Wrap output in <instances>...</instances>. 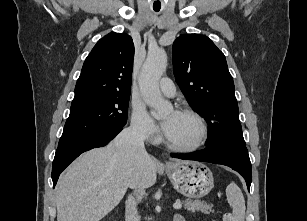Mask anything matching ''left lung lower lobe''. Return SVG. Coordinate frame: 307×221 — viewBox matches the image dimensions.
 Instances as JSON below:
<instances>
[{"label": "left lung lower lobe", "instance_id": "0a47b994", "mask_svg": "<svg viewBox=\"0 0 307 221\" xmlns=\"http://www.w3.org/2000/svg\"><path fill=\"white\" fill-rule=\"evenodd\" d=\"M174 158L226 165L237 171L246 181L248 190L252 181V166L248 153L225 145L206 147L193 153L171 154Z\"/></svg>", "mask_w": 307, "mask_h": 221}]
</instances>
